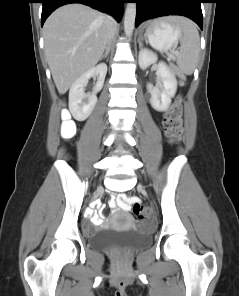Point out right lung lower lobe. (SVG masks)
Here are the masks:
<instances>
[{
    "label": "right lung lower lobe",
    "instance_id": "obj_1",
    "mask_svg": "<svg viewBox=\"0 0 239 296\" xmlns=\"http://www.w3.org/2000/svg\"><path fill=\"white\" fill-rule=\"evenodd\" d=\"M43 4L41 25L47 17L58 7L69 3H82L99 11L109 13L119 22L123 14L124 0H40Z\"/></svg>",
    "mask_w": 239,
    "mask_h": 296
}]
</instances>
